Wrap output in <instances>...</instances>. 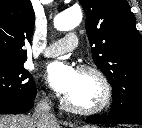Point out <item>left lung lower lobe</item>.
Wrapping results in <instances>:
<instances>
[{
  "label": "left lung lower lobe",
  "instance_id": "obj_1",
  "mask_svg": "<svg viewBox=\"0 0 142 128\" xmlns=\"http://www.w3.org/2000/svg\"><path fill=\"white\" fill-rule=\"evenodd\" d=\"M93 124H139L142 125V108L131 109L126 112L97 115L86 120Z\"/></svg>",
  "mask_w": 142,
  "mask_h": 128
}]
</instances>
